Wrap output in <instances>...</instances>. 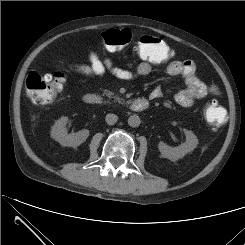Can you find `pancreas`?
<instances>
[{
  "mask_svg": "<svg viewBox=\"0 0 245 245\" xmlns=\"http://www.w3.org/2000/svg\"><path fill=\"white\" fill-rule=\"evenodd\" d=\"M103 95H106L109 99L113 98L114 102H119L121 104L125 103L123 99L119 98L117 95H114V93L109 90H104Z\"/></svg>",
  "mask_w": 245,
  "mask_h": 245,
  "instance_id": "1",
  "label": "pancreas"
}]
</instances>
